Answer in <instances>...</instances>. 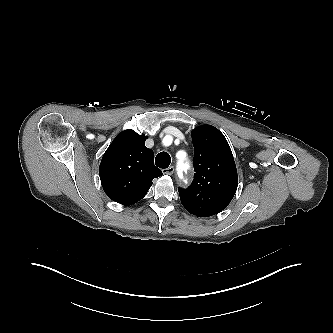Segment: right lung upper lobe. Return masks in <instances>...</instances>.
<instances>
[{
  "label": "right lung upper lobe",
  "instance_id": "cb5924a9",
  "mask_svg": "<svg viewBox=\"0 0 333 333\" xmlns=\"http://www.w3.org/2000/svg\"><path fill=\"white\" fill-rule=\"evenodd\" d=\"M144 135L133 130L121 132L106 150L99 175L107 196L123 205L141 200L152 185V180L162 175L154 163L153 151L145 147Z\"/></svg>",
  "mask_w": 333,
  "mask_h": 333
}]
</instances>
